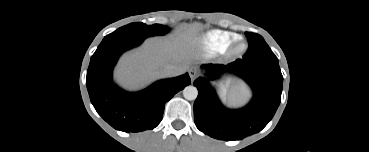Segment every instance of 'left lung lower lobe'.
Instances as JSON below:
<instances>
[{
    "mask_svg": "<svg viewBox=\"0 0 369 152\" xmlns=\"http://www.w3.org/2000/svg\"><path fill=\"white\" fill-rule=\"evenodd\" d=\"M209 79L232 72L253 89L252 101L244 108L230 110L219 101L209 80L200 77L194 85L198 97L194 102L196 127L215 139L234 141L261 131L274 116L282 93L283 76L278 61L238 59L228 65H203Z\"/></svg>",
    "mask_w": 369,
    "mask_h": 152,
    "instance_id": "left-lung-lower-lobe-1",
    "label": "left lung lower lobe"
}]
</instances>
